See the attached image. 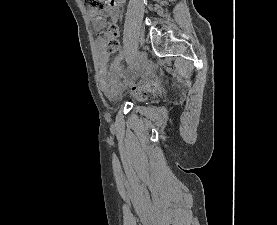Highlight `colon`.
<instances>
[{
	"instance_id": "5ec220e1",
	"label": "colon",
	"mask_w": 277,
	"mask_h": 225,
	"mask_svg": "<svg viewBox=\"0 0 277 225\" xmlns=\"http://www.w3.org/2000/svg\"><path fill=\"white\" fill-rule=\"evenodd\" d=\"M83 4L96 11L99 17H106L109 14V6L111 0H82ZM102 37L105 39L104 49L108 54L115 53L119 49L117 40V30L114 27L102 32ZM154 90V85L140 86L133 88L132 94L135 98L142 99L148 92Z\"/></svg>"
}]
</instances>
